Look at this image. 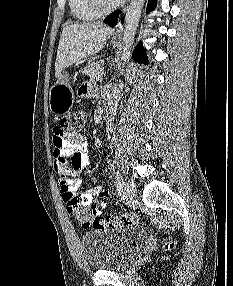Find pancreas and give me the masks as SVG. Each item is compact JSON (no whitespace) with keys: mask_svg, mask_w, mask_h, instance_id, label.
Wrapping results in <instances>:
<instances>
[{"mask_svg":"<svg viewBox=\"0 0 233 286\" xmlns=\"http://www.w3.org/2000/svg\"><path fill=\"white\" fill-rule=\"evenodd\" d=\"M101 65H102L101 61L89 63L88 65L84 67V69L82 70V73L92 79H97L102 74Z\"/></svg>","mask_w":233,"mask_h":286,"instance_id":"pancreas-1","label":"pancreas"}]
</instances>
